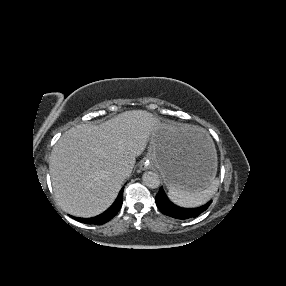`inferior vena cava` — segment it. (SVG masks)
Masks as SVG:
<instances>
[{"instance_id":"inferior-vena-cava-1","label":"inferior vena cava","mask_w":286,"mask_h":286,"mask_svg":"<svg viewBox=\"0 0 286 286\" xmlns=\"http://www.w3.org/2000/svg\"><path fill=\"white\" fill-rule=\"evenodd\" d=\"M116 174H118L121 177H127L129 175V170L126 166L124 165H119L115 169Z\"/></svg>"}]
</instances>
